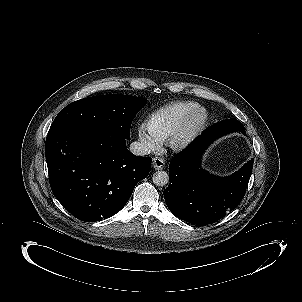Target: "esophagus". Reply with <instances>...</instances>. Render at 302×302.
<instances>
[{"mask_svg": "<svg viewBox=\"0 0 302 302\" xmlns=\"http://www.w3.org/2000/svg\"><path fill=\"white\" fill-rule=\"evenodd\" d=\"M165 166V161L163 158L161 157H155L153 158V161H152V167L155 169V170H161L163 169Z\"/></svg>", "mask_w": 302, "mask_h": 302, "instance_id": "esophagus-1", "label": "esophagus"}]
</instances>
